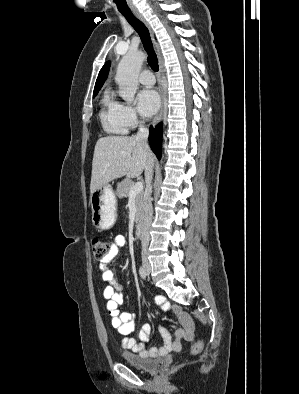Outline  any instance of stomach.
<instances>
[{
    "label": "stomach",
    "mask_w": 299,
    "mask_h": 394,
    "mask_svg": "<svg viewBox=\"0 0 299 394\" xmlns=\"http://www.w3.org/2000/svg\"><path fill=\"white\" fill-rule=\"evenodd\" d=\"M116 196L110 186L91 192L92 222L98 229H110L116 221Z\"/></svg>",
    "instance_id": "obj_1"
}]
</instances>
